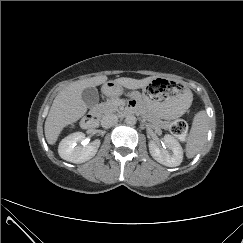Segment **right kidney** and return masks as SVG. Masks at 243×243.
<instances>
[{
	"instance_id": "ca27d5eb",
	"label": "right kidney",
	"mask_w": 243,
	"mask_h": 243,
	"mask_svg": "<svg viewBox=\"0 0 243 243\" xmlns=\"http://www.w3.org/2000/svg\"><path fill=\"white\" fill-rule=\"evenodd\" d=\"M100 146V140L91 143L85 139V134L75 132L65 137L58 147L60 157L72 163H84L94 157Z\"/></svg>"
}]
</instances>
